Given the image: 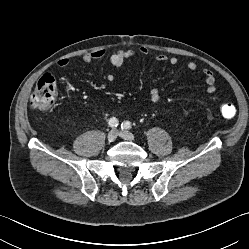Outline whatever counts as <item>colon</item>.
I'll return each mask as SVG.
<instances>
[{"instance_id":"colon-1","label":"colon","mask_w":249,"mask_h":249,"mask_svg":"<svg viewBox=\"0 0 249 249\" xmlns=\"http://www.w3.org/2000/svg\"><path fill=\"white\" fill-rule=\"evenodd\" d=\"M56 98V80L51 74H44L38 80L33 94L32 106L40 111H49L54 107ZM221 114L224 118H232L235 108L231 104L221 106Z\"/></svg>"}]
</instances>
